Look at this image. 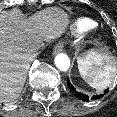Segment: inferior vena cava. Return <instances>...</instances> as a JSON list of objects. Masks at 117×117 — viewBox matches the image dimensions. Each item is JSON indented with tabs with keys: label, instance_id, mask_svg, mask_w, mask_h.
Wrapping results in <instances>:
<instances>
[{
	"label": "inferior vena cava",
	"instance_id": "602c4592",
	"mask_svg": "<svg viewBox=\"0 0 117 117\" xmlns=\"http://www.w3.org/2000/svg\"><path fill=\"white\" fill-rule=\"evenodd\" d=\"M31 51H32V53L37 54V53H39L40 48H39V46L34 45V46H32Z\"/></svg>",
	"mask_w": 117,
	"mask_h": 117
}]
</instances>
